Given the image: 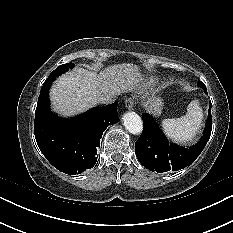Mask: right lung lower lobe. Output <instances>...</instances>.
Listing matches in <instances>:
<instances>
[{
  "mask_svg": "<svg viewBox=\"0 0 233 233\" xmlns=\"http://www.w3.org/2000/svg\"><path fill=\"white\" fill-rule=\"evenodd\" d=\"M52 77L45 81L40 95L45 103L36 108L34 134L39 149L59 171L75 175L92 168L97 161V148L107 126L119 121L117 102L94 107L71 119H61L49 111V88Z\"/></svg>",
  "mask_w": 233,
  "mask_h": 233,
  "instance_id": "right-lung-lower-lobe-1",
  "label": "right lung lower lobe"
}]
</instances>
